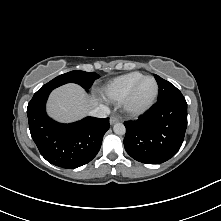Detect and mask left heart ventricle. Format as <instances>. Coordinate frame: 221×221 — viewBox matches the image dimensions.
<instances>
[{
  "instance_id": "b2bd125f",
  "label": "left heart ventricle",
  "mask_w": 221,
  "mask_h": 221,
  "mask_svg": "<svg viewBox=\"0 0 221 221\" xmlns=\"http://www.w3.org/2000/svg\"><path fill=\"white\" fill-rule=\"evenodd\" d=\"M154 92V83L152 80L147 79L145 80L139 87L135 101L138 104L146 102Z\"/></svg>"
}]
</instances>
